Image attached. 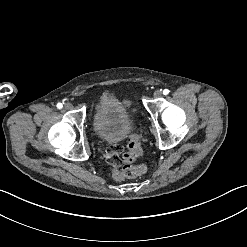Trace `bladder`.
<instances>
[{
	"label": "bladder",
	"instance_id": "1",
	"mask_svg": "<svg viewBox=\"0 0 247 247\" xmlns=\"http://www.w3.org/2000/svg\"><path fill=\"white\" fill-rule=\"evenodd\" d=\"M99 102V112H96L92 125L93 132L99 141L119 142L131 131L129 111L112 96L102 95Z\"/></svg>",
	"mask_w": 247,
	"mask_h": 247
}]
</instances>
